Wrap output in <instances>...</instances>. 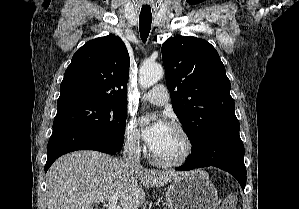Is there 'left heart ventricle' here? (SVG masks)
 <instances>
[{"label": "left heart ventricle", "instance_id": "obj_1", "mask_svg": "<svg viewBox=\"0 0 299 209\" xmlns=\"http://www.w3.org/2000/svg\"><path fill=\"white\" fill-rule=\"evenodd\" d=\"M185 147L186 144L182 136L169 127L161 140L151 149L162 159H175L182 155Z\"/></svg>", "mask_w": 299, "mask_h": 209}]
</instances>
